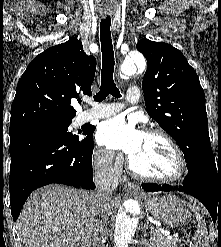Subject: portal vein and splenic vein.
Listing matches in <instances>:
<instances>
[{"label":"portal vein and splenic vein","instance_id":"obj_1","mask_svg":"<svg viewBox=\"0 0 221 247\" xmlns=\"http://www.w3.org/2000/svg\"><path fill=\"white\" fill-rule=\"evenodd\" d=\"M157 230H158V232H160L161 234L167 236L168 238H173V236L170 235V232H169V231L163 230V229H161V228H159V229H157ZM175 239H176V238H175Z\"/></svg>","mask_w":221,"mask_h":247}]
</instances>
